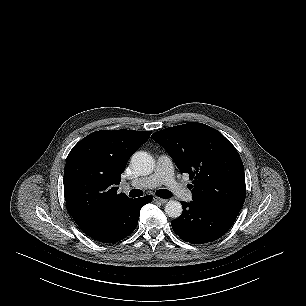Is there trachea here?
Returning <instances> with one entry per match:
<instances>
[{
  "mask_svg": "<svg viewBox=\"0 0 306 306\" xmlns=\"http://www.w3.org/2000/svg\"><path fill=\"white\" fill-rule=\"evenodd\" d=\"M143 195V191L139 189H133L130 191V197H140ZM156 195L160 198H170L172 196L171 192L166 189H159L156 191Z\"/></svg>",
  "mask_w": 306,
  "mask_h": 306,
  "instance_id": "trachea-1",
  "label": "trachea"
}]
</instances>
